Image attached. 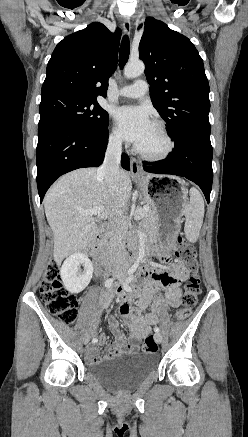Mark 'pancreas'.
<instances>
[{"instance_id": "1", "label": "pancreas", "mask_w": 248, "mask_h": 437, "mask_svg": "<svg viewBox=\"0 0 248 437\" xmlns=\"http://www.w3.org/2000/svg\"><path fill=\"white\" fill-rule=\"evenodd\" d=\"M148 206H149V211L145 213L143 217V223L145 224L146 228L149 230L150 234H153L154 230L156 229L157 216L152 205L148 203ZM127 228L128 226L126 224L121 226L122 235L126 234ZM106 246H107V250L110 253H112L115 247V238L111 237L107 242Z\"/></svg>"}]
</instances>
